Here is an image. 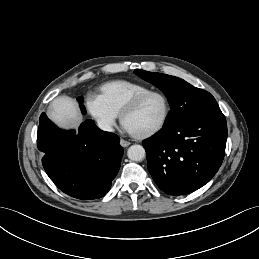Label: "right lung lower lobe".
Here are the masks:
<instances>
[{"instance_id":"1","label":"right lung lower lobe","mask_w":259,"mask_h":259,"mask_svg":"<svg viewBox=\"0 0 259 259\" xmlns=\"http://www.w3.org/2000/svg\"><path fill=\"white\" fill-rule=\"evenodd\" d=\"M116 134L100 130L92 120L78 134L55 126L42 113L37 134L38 149L45 153L43 167L64 193L77 199H97L110 189L117 175L123 148Z\"/></svg>"}]
</instances>
